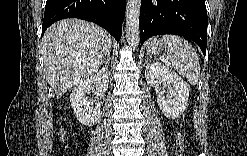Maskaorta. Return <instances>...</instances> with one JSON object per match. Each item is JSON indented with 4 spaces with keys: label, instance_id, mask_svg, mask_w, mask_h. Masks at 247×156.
Wrapping results in <instances>:
<instances>
[{
    "label": "aorta",
    "instance_id": "aorta-1",
    "mask_svg": "<svg viewBox=\"0 0 247 156\" xmlns=\"http://www.w3.org/2000/svg\"><path fill=\"white\" fill-rule=\"evenodd\" d=\"M141 0H128L126 9V39L134 49L139 41V17Z\"/></svg>",
    "mask_w": 247,
    "mask_h": 156
}]
</instances>
